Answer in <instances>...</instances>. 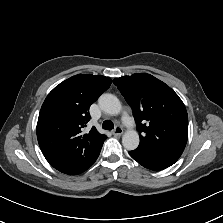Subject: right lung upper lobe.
Listing matches in <instances>:
<instances>
[{"label": "right lung upper lobe", "instance_id": "1", "mask_svg": "<svg viewBox=\"0 0 223 223\" xmlns=\"http://www.w3.org/2000/svg\"><path fill=\"white\" fill-rule=\"evenodd\" d=\"M111 85L105 76L79 74L57 85L46 97L38 118L37 139L47 161L58 171L76 175L97 159L107 138L95 127L83 132L89 107Z\"/></svg>", "mask_w": 223, "mask_h": 223}]
</instances>
